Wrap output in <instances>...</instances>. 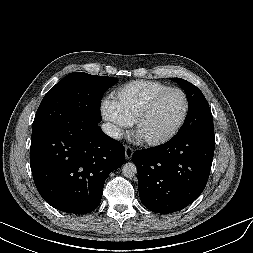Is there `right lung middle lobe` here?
I'll return each instance as SVG.
<instances>
[{"mask_svg":"<svg viewBox=\"0 0 253 253\" xmlns=\"http://www.w3.org/2000/svg\"><path fill=\"white\" fill-rule=\"evenodd\" d=\"M116 78L73 72L52 87L36 112L32 133L52 126L83 121L98 124L100 103Z\"/></svg>","mask_w":253,"mask_h":253,"instance_id":"right-lung-middle-lobe-1","label":"right lung middle lobe"}]
</instances>
